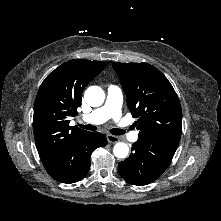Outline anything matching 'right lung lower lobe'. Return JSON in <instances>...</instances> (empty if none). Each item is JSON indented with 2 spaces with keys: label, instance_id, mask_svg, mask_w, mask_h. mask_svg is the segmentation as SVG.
<instances>
[{
  "label": "right lung lower lobe",
  "instance_id": "1",
  "mask_svg": "<svg viewBox=\"0 0 221 221\" xmlns=\"http://www.w3.org/2000/svg\"><path fill=\"white\" fill-rule=\"evenodd\" d=\"M107 138L98 132H87L68 146L43 162L46 171L62 183H75L82 180L89 171L90 157L97 147H104Z\"/></svg>",
  "mask_w": 221,
  "mask_h": 221
}]
</instances>
